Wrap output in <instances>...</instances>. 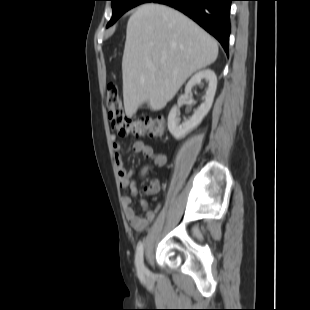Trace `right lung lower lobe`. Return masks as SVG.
Here are the masks:
<instances>
[{"label":"right lung lower lobe","mask_w":310,"mask_h":310,"mask_svg":"<svg viewBox=\"0 0 310 310\" xmlns=\"http://www.w3.org/2000/svg\"><path fill=\"white\" fill-rule=\"evenodd\" d=\"M234 0H150L171 6L197 22L213 35L228 53L230 7Z\"/></svg>","instance_id":"1"}]
</instances>
